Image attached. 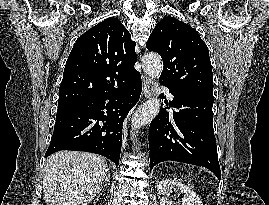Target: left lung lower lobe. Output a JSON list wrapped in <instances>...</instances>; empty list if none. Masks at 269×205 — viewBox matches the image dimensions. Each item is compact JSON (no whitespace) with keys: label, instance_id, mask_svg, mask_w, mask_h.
<instances>
[{"label":"left lung lower lobe","instance_id":"1","mask_svg":"<svg viewBox=\"0 0 269 205\" xmlns=\"http://www.w3.org/2000/svg\"><path fill=\"white\" fill-rule=\"evenodd\" d=\"M169 92L174 96L170 103L175 108L173 115L169 116L166 108L162 109L149 128L150 169L162 161L184 162L206 167L220 180L213 96Z\"/></svg>","mask_w":269,"mask_h":205}]
</instances>
